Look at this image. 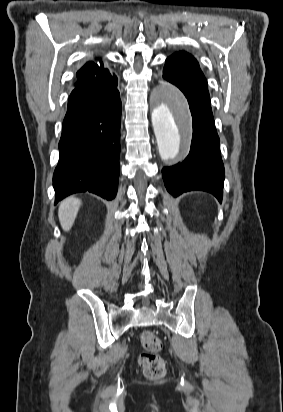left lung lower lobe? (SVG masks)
<instances>
[{
  "label": "left lung lower lobe",
  "instance_id": "1",
  "mask_svg": "<svg viewBox=\"0 0 283 412\" xmlns=\"http://www.w3.org/2000/svg\"><path fill=\"white\" fill-rule=\"evenodd\" d=\"M163 77L186 96L193 126L189 155L183 162L162 170L166 189L174 197L188 191H205L221 202L225 171L207 83L191 76Z\"/></svg>",
  "mask_w": 283,
  "mask_h": 412
}]
</instances>
